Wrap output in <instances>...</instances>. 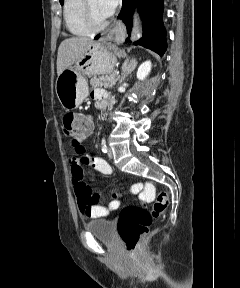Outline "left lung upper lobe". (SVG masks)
Masks as SVG:
<instances>
[{"mask_svg": "<svg viewBox=\"0 0 240 288\" xmlns=\"http://www.w3.org/2000/svg\"><path fill=\"white\" fill-rule=\"evenodd\" d=\"M64 0H60V3L62 4Z\"/></svg>", "mask_w": 240, "mask_h": 288, "instance_id": "1", "label": "left lung upper lobe"}]
</instances>
